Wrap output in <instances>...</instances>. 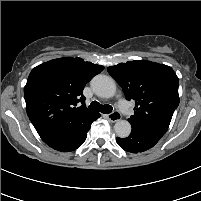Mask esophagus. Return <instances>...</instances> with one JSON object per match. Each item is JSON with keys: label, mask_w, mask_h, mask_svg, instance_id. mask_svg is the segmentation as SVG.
Instances as JSON below:
<instances>
[{"label": "esophagus", "mask_w": 201, "mask_h": 201, "mask_svg": "<svg viewBox=\"0 0 201 201\" xmlns=\"http://www.w3.org/2000/svg\"><path fill=\"white\" fill-rule=\"evenodd\" d=\"M106 117L111 122H117L121 119V114L118 111H113L112 113L108 114Z\"/></svg>", "instance_id": "34e87169"}]
</instances>
